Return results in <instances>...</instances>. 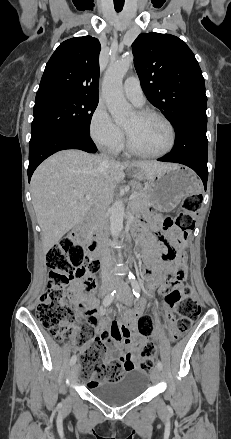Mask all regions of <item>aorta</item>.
Instances as JSON below:
<instances>
[{
  "label": "aorta",
  "mask_w": 231,
  "mask_h": 439,
  "mask_svg": "<svg viewBox=\"0 0 231 439\" xmlns=\"http://www.w3.org/2000/svg\"><path fill=\"white\" fill-rule=\"evenodd\" d=\"M132 57L125 55L111 62L103 79L102 94L107 108L116 123L127 121L132 115V108L127 103L122 88V80L130 66ZM124 205L122 201H116L111 207L110 232L117 238L123 230Z\"/></svg>",
  "instance_id": "762f6f07"
}]
</instances>
